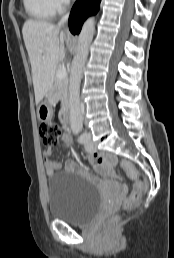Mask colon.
<instances>
[{"label":"colon","mask_w":174,"mask_h":258,"mask_svg":"<svg viewBox=\"0 0 174 258\" xmlns=\"http://www.w3.org/2000/svg\"><path fill=\"white\" fill-rule=\"evenodd\" d=\"M40 135L42 137L43 143L47 146H54L57 144L60 136H61V127L54 122H43L39 128ZM122 168L128 174V176L134 181V188L131 195L125 200L123 207L125 209H131L135 207L141 200L144 185L139 180V173L135 166L129 161H123L121 163ZM117 223V218H111L107 224L106 229L110 233L115 228Z\"/></svg>","instance_id":"obj_1"}]
</instances>
